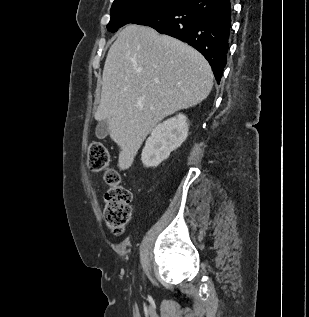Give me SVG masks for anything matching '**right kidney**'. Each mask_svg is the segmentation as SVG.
<instances>
[{
	"label": "right kidney",
	"mask_w": 309,
	"mask_h": 317,
	"mask_svg": "<svg viewBox=\"0 0 309 317\" xmlns=\"http://www.w3.org/2000/svg\"><path fill=\"white\" fill-rule=\"evenodd\" d=\"M189 123L184 114L156 125L142 150L141 160L145 167L155 168L166 160L186 140Z\"/></svg>",
	"instance_id": "right-kidney-1"
}]
</instances>
